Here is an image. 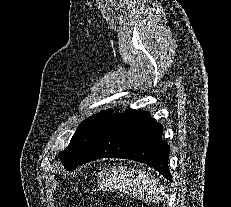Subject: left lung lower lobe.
Here are the masks:
<instances>
[{
	"label": "left lung lower lobe",
	"instance_id": "1",
	"mask_svg": "<svg viewBox=\"0 0 231 207\" xmlns=\"http://www.w3.org/2000/svg\"><path fill=\"white\" fill-rule=\"evenodd\" d=\"M161 135L162 125L153 121L147 112L127 110L122 114H112L71 170L100 158H124L148 164L171 180L168 166L170 148L161 140Z\"/></svg>",
	"mask_w": 231,
	"mask_h": 207
}]
</instances>
